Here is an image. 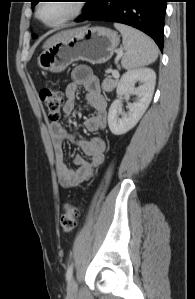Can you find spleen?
Segmentation results:
<instances>
[{"label":"spleen","mask_w":195,"mask_h":299,"mask_svg":"<svg viewBox=\"0 0 195 299\" xmlns=\"http://www.w3.org/2000/svg\"><path fill=\"white\" fill-rule=\"evenodd\" d=\"M114 27L120 31L123 37L125 53L122 56L121 64L124 69L131 70L156 61L159 50L150 37L124 24L114 23Z\"/></svg>","instance_id":"1"}]
</instances>
